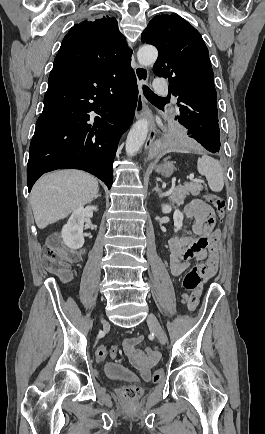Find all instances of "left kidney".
Returning a JSON list of instances; mask_svg holds the SVG:
<instances>
[{
	"instance_id": "left-kidney-1",
	"label": "left kidney",
	"mask_w": 265,
	"mask_h": 434,
	"mask_svg": "<svg viewBox=\"0 0 265 434\" xmlns=\"http://www.w3.org/2000/svg\"><path fill=\"white\" fill-rule=\"evenodd\" d=\"M172 208L171 206H166V204H163L162 206V212L163 214H170ZM183 214L180 212V210H175L173 214V220H174V232H178V230H181L183 226Z\"/></svg>"
}]
</instances>
